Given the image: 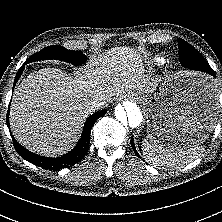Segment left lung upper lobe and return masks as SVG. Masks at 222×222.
<instances>
[{
	"instance_id": "5c2ea615",
	"label": "left lung upper lobe",
	"mask_w": 222,
	"mask_h": 222,
	"mask_svg": "<svg viewBox=\"0 0 222 222\" xmlns=\"http://www.w3.org/2000/svg\"><path fill=\"white\" fill-rule=\"evenodd\" d=\"M179 61L181 65L184 66L186 61L191 62L197 66H200L201 71L206 72L208 70H212L208 62L201 56V54L193 48L190 44H188L183 39L179 38Z\"/></svg>"
}]
</instances>
